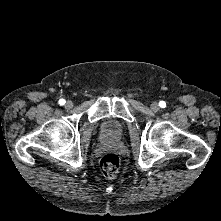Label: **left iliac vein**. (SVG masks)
<instances>
[{
  "instance_id": "1",
  "label": "left iliac vein",
  "mask_w": 221,
  "mask_h": 221,
  "mask_svg": "<svg viewBox=\"0 0 221 221\" xmlns=\"http://www.w3.org/2000/svg\"><path fill=\"white\" fill-rule=\"evenodd\" d=\"M151 109L153 110V111H158L159 110V103H157V102H153L152 104H151Z\"/></svg>"
}]
</instances>
